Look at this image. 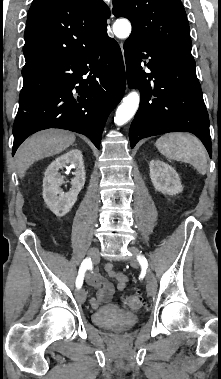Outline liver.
<instances>
[{"instance_id": "obj_1", "label": "liver", "mask_w": 221, "mask_h": 379, "mask_svg": "<svg viewBox=\"0 0 221 379\" xmlns=\"http://www.w3.org/2000/svg\"><path fill=\"white\" fill-rule=\"evenodd\" d=\"M74 141L75 135L73 133L59 129L43 130L32 135L23 142L15 155L19 177L22 179L34 162L59 154L72 145Z\"/></svg>"}]
</instances>
